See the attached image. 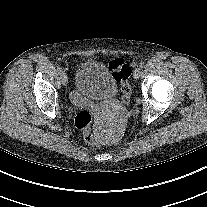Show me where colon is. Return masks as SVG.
I'll return each instance as SVG.
<instances>
[{
    "label": "colon",
    "instance_id": "1",
    "mask_svg": "<svg viewBox=\"0 0 207 207\" xmlns=\"http://www.w3.org/2000/svg\"><path fill=\"white\" fill-rule=\"evenodd\" d=\"M109 69L117 82L121 84L122 101L127 103L131 94L129 78L132 73L131 67L122 59H115L109 63ZM93 122L92 114L87 110L80 111L75 117V125L83 131L84 141L93 147L98 146L95 134L91 130Z\"/></svg>",
    "mask_w": 207,
    "mask_h": 207
}]
</instances>
